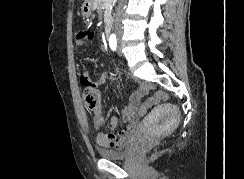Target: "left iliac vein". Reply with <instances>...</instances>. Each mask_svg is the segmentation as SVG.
Returning <instances> with one entry per match:
<instances>
[{
  "label": "left iliac vein",
  "mask_w": 244,
  "mask_h": 179,
  "mask_svg": "<svg viewBox=\"0 0 244 179\" xmlns=\"http://www.w3.org/2000/svg\"><path fill=\"white\" fill-rule=\"evenodd\" d=\"M120 49H121L120 42H118V51H117L118 55H120Z\"/></svg>",
  "instance_id": "1"
}]
</instances>
